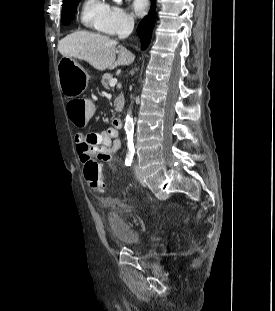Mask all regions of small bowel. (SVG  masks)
Listing matches in <instances>:
<instances>
[{"label": "small bowel", "instance_id": "obj_1", "mask_svg": "<svg viewBox=\"0 0 275 311\" xmlns=\"http://www.w3.org/2000/svg\"><path fill=\"white\" fill-rule=\"evenodd\" d=\"M74 143L83 164L91 160L109 161L121 147L119 129L114 125L98 133L78 132L74 136Z\"/></svg>", "mask_w": 275, "mask_h": 311}]
</instances>
